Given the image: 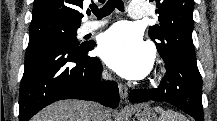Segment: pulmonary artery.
Masks as SVG:
<instances>
[{"instance_id":"pulmonary-artery-1","label":"pulmonary artery","mask_w":217,"mask_h":121,"mask_svg":"<svg viewBox=\"0 0 217 121\" xmlns=\"http://www.w3.org/2000/svg\"><path fill=\"white\" fill-rule=\"evenodd\" d=\"M147 15V5L142 2H131L129 5V16L134 19L142 18ZM107 20L103 19L101 21H88L85 22L81 28V34H87L101 28Z\"/></svg>"}]
</instances>
